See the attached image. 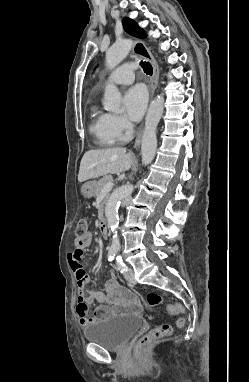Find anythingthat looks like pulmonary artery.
Masks as SVG:
<instances>
[{
	"mask_svg": "<svg viewBox=\"0 0 249 382\" xmlns=\"http://www.w3.org/2000/svg\"><path fill=\"white\" fill-rule=\"evenodd\" d=\"M135 63H125L115 69L108 77V81L114 84L128 85L134 81Z\"/></svg>",
	"mask_w": 249,
	"mask_h": 382,
	"instance_id": "e3ab8cb5",
	"label": "pulmonary artery"
}]
</instances>
